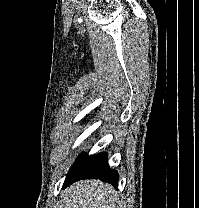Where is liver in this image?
<instances>
[{
  "label": "liver",
  "instance_id": "1",
  "mask_svg": "<svg viewBox=\"0 0 199 208\" xmlns=\"http://www.w3.org/2000/svg\"><path fill=\"white\" fill-rule=\"evenodd\" d=\"M64 199L67 208H116L114 188L99 180L71 185Z\"/></svg>",
  "mask_w": 199,
  "mask_h": 208
}]
</instances>
